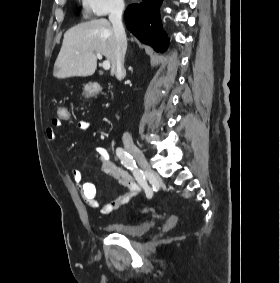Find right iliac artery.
<instances>
[{
  "label": "right iliac artery",
  "instance_id": "1",
  "mask_svg": "<svg viewBox=\"0 0 280 283\" xmlns=\"http://www.w3.org/2000/svg\"><path fill=\"white\" fill-rule=\"evenodd\" d=\"M116 155L121 160V163L133 173L138 183L145 188L146 196L148 198L151 197V192L147 186L145 176L143 175V172L137 167L133 157L121 147H118L116 149Z\"/></svg>",
  "mask_w": 280,
  "mask_h": 283
}]
</instances>
